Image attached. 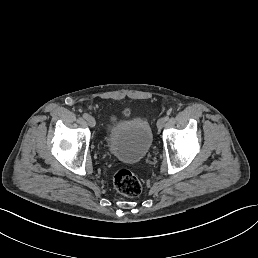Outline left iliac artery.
<instances>
[{
	"instance_id": "44dca946",
	"label": "left iliac artery",
	"mask_w": 258,
	"mask_h": 258,
	"mask_svg": "<svg viewBox=\"0 0 258 258\" xmlns=\"http://www.w3.org/2000/svg\"><path fill=\"white\" fill-rule=\"evenodd\" d=\"M164 120H165V121H168V120H169V116H168V115L165 116V117H164Z\"/></svg>"
}]
</instances>
